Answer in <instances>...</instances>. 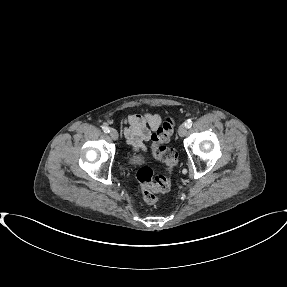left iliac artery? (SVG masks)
<instances>
[{
    "label": "left iliac artery",
    "instance_id": "1",
    "mask_svg": "<svg viewBox=\"0 0 287 287\" xmlns=\"http://www.w3.org/2000/svg\"><path fill=\"white\" fill-rule=\"evenodd\" d=\"M185 126H186L187 128H190V127L192 126V121H191V119H189V120L186 121Z\"/></svg>",
    "mask_w": 287,
    "mask_h": 287
}]
</instances>
